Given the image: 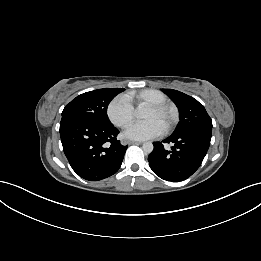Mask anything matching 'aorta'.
Returning <instances> with one entry per match:
<instances>
[{"mask_svg":"<svg viewBox=\"0 0 261 261\" xmlns=\"http://www.w3.org/2000/svg\"><path fill=\"white\" fill-rule=\"evenodd\" d=\"M153 144L151 142H145L142 146V149L145 153H151L153 151Z\"/></svg>","mask_w":261,"mask_h":261,"instance_id":"1","label":"aorta"}]
</instances>
